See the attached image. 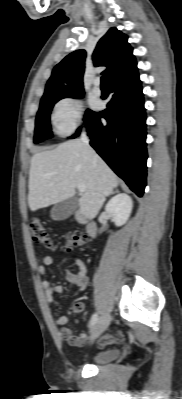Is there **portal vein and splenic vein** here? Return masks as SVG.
<instances>
[{
	"label": "portal vein and splenic vein",
	"instance_id": "obj_1",
	"mask_svg": "<svg viewBox=\"0 0 182 399\" xmlns=\"http://www.w3.org/2000/svg\"><path fill=\"white\" fill-rule=\"evenodd\" d=\"M78 190L80 193H83L86 190L85 185L82 183L78 184Z\"/></svg>",
	"mask_w": 182,
	"mask_h": 399
}]
</instances>
